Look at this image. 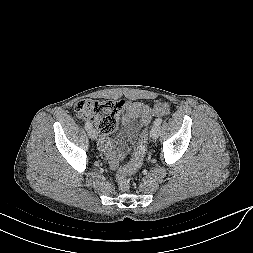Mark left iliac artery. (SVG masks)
Segmentation results:
<instances>
[{"label": "left iliac artery", "instance_id": "1", "mask_svg": "<svg viewBox=\"0 0 253 253\" xmlns=\"http://www.w3.org/2000/svg\"><path fill=\"white\" fill-rule=\"evenodd\" d=\"M161 123H162V119L158 118V119L155 120L154 125L159 126V125H161Z\"/></svg>", "mask_w": 253, "mask_h": 253}]
</instances>
